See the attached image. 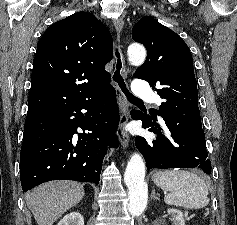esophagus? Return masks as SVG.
<instances>
[{
    "label": "esophagus",
    "instance_id": "34e87169",
    "mask_svg": "<svg viewBox=\"0 0 237 225\" xmlns=\"http://www.w3.org/2000/svg\"><path fill=\"white\" fill-rule=\"evenodd\" d=\"M113 24L117 32V35H120V33L123 31V28H124V21L121 18H117L113 20ZM121 75L123 76V78H127L128 72L125 65H123L121 69ZM114 86L116 89L117 101H118V105L120 109V120H119V125L117 128L116 134L119 138L121 145L124 148H127L129 145V136L125 129V125L128 119L127 102L120 87L117 84H115Z\"/></svg>",
    "mask_w": 237,
    "mask_h": 225
}]
</instances>
